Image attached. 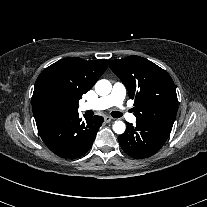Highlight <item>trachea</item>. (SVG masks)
<instances>
[{
  "label": "trachea",
  "instance_id": "obj_1",
  "mask_svg": "<svg viewBox=\"0 0 207 207\" xmlns=\"http://www.w3.org/2000/svg\"><path fill=\"white\" fill-rule=\"evenodd\" d=\"M111 115H112L113 117H115V118H119V117L122 116V114H121L120 112H118V111H114V112H112Z\"/></svg>",
  "mask_w": 207,
  "mask_h": 207
}]
</instances>
